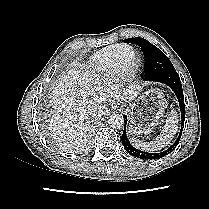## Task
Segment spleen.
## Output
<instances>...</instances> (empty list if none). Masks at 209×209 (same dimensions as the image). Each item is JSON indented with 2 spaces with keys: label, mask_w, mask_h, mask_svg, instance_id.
Wrapping results in <instances>:
<instances>
[{
  "label": "spleen",
  "mask_w": 209,
  "mask_h": 209,
  "mask_svg": "<svg viewBox=\"0 0 209 209\" xmlns=\"http://www.w3.org/2000/svg\"><path fill=\"white\" fill-rule=\"evenodd\" d=\"M177 123V112L175 110H172L171 114L166 119V124L164 125V128L156 139L150 142H143L135 137H130V141L136 148L143 151L154 152L161 150L163 147L167 146L171 142L172 138L175 136L178 128Z\"/></svg>",
  "instance_id": "obj_1"
}]
</instances>
